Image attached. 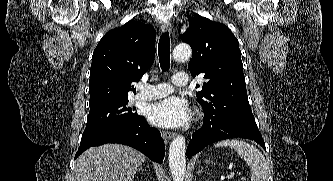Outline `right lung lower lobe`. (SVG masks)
Segmentation results:
<instances>
[{
    "instance_id": "right-lung-lower-lobe-1",
    "label": "right lung lower lobe",
    "mask_w": 333,
    "mask_h": 181,
    "mask_svg": "<svg viewBox=\"0 0 333 181\" xmlns=\"http://www.w3.org/2000/svg\"><path fill=\"white\" fill-rule=\"evenodd\" d=\"M118 143L131 146L151 160L162 163L165 145L158 129L150 127L143 116L101 130L83 133L76 157L92 146Z\"/></svg>"
}]
</instances>
